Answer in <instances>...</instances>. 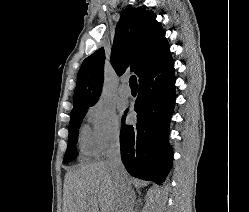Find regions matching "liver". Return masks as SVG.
I'll use <instances>...</instances> for the list:
<instances>
[{"label":"liver","mask_w":249,"mask_h":212,"mask_svg":"<svg viewBox=\"0 0 249 212\" xmlns=\"http://www.w3.org/2000/svg\"><path fill=\"white\" fill-rule=\"evenodd\" d=\"M115 192L114 168L107 162L70 170L64 184L66 212H113Z\"/></svg>","instance_id":"liver-1"}]
</instances>
